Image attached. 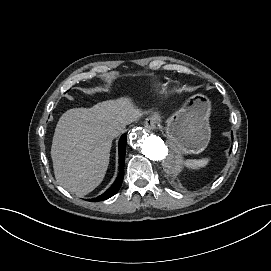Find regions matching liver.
Wrapping results in <instances>:
<instances>
[{"label":"liver","instance_id":"liver-1","mask_svg":"<svg viewBox=\"0 0 271 271\" xmlns=\"http://www.w3.org/2000/svg\"><path fill=\"white\" fill-rule=\"evenodd\" d=\"M143 114L127 97L67 110L51 147L57 182L79 197L93 191L106 174L115 135Z\"/></svg>","mask_w":271,"mask_h":271}]
</instances>
